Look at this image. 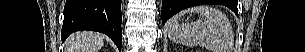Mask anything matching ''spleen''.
Here are the masks:
<instances>
[{
	"label": "spleen",
	"mask_w": 305,
	"mask_h": 52,
	"mask_svg": "<svg viewBox=\"0 0 305 52\" xmlns=\"http://www.w3.org/2000/svg\"><path fill=\"white\" fill-rule=\"evenodd\" d=\"M198 13L200 18L191 23H178L185 13ZM205 17V18H204ZM169 38L188 47L201 46L210 52H229L233 31L230 22L221 11L200 5L174 16L167 25Z\"/></svg>",
	"instance_id": "obj_1"
}]
</instances>
